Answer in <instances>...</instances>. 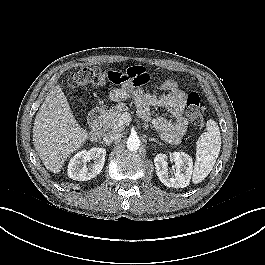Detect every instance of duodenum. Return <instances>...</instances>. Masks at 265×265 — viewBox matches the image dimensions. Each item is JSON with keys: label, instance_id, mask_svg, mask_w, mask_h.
<instances>
[{"label": "duodenum", "instance_id": "410a0bca", "mask_svg": "<svg viewBox=\"0 0 265 265\" xmlns=\"http://www.w3.org/2000/svg\"><path fill=\"white\" fill-rule=\"evenodd\" d=\"M103 112L104 110L102 107H96L90 112L88 116V123L90 126L89 135L91 141H97L102 135L101 121Z\"/></svg>", "mask_w": 265, "mask_h": 265}]
</instances>
